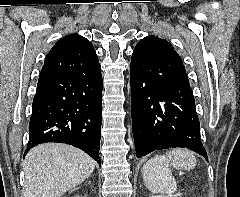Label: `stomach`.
I'll use <instances>...</instances> for the list:
<instances>
[{
	"label": "stomach",
	"instance_id": "1",
	"mask_svg": "<svg viewBox=\"0 0 240 197\" xmlns=\"http://www.w3.org/2000/svg\"><path fill=\"white\" fill-rule=\"evenodd\" d=\"M195 164L196 162L193 159H185L175 162L173 165L183 170H190L194 168Z\"/></svg>",
	"mask_w": 240,
	"mask_h": 197
}]
</instances>
